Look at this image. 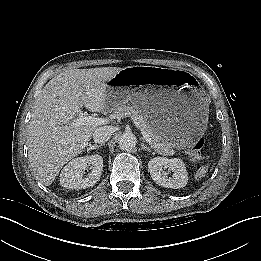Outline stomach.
Instances as JSON below:
<instances>
[{
  "instance_id": "0dacf381",
  "label": "stomach",
  "mask_w": 261,
  "mask_h": 261,
  "mask_svg": "<svg viewBox=\"0 0 261 261\" xmlns=\"http://www.w3.org/2000/svg\"><path fill=\"white\" fill-rule=\"evenodd\" d=\"M133 75L146 76L147 88L108 85V106L131 102L145 112L157 136L179 149L191 147L204 133L208 120L207 98L197 81L182 71L143 66L122 69L112 82Z\"/></svg>"
}]
</instances>
